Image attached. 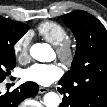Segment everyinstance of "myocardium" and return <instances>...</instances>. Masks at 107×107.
Listing matches in <instances>:
<instances>
[{
  "label": "myocardium",
  "mask_w": 107,
  "mask_h": 107,
  "mask_svg": "<svg viewBox=\"0 0 107 107\" xmlns=\"http://www.w3.org/2000/svg\"><path fill=\"white\" fill-rule=\"evenodd\" d=\"M56 53L64 65L70 66L73 63L76 55V47L74 42L71 39L66 38L56 46Z\"/></svg>",
  "instance_id": "myocardium-1"
}]
</instances>
